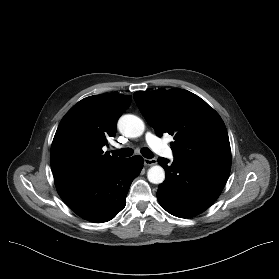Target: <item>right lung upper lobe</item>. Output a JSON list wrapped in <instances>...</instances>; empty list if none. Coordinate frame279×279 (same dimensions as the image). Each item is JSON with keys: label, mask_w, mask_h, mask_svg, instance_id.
<instances>
[{"label": "right lung upper lobe", "mask_w": 279, "mask_h": 279, "mask_svg": "<svg viewBox=\"0 0 279 279\" xmlns=\"http://www.w3.org/2000/svg\"><path fill=\"white\" fill-rule=\"evenodd\" d=\"M131 96L101 94L75 104L55 133L50 164L56 187L110 169L124 158L103 153L107 138L116 133V122L128 108Z\"/></svg>", "instance_id": "1"}]
</instances>
